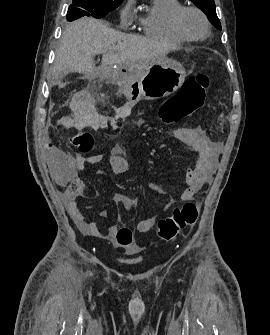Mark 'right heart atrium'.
<instances>
[{
    "label": "right heart atrium",
    "mask_w": 270,
    "mask_h": 335,
    "mask_svg": "<svg viewBox=\"0 0 270 335\" xmlns=\"http://www.w3.org/2000/svg\"><path fill=\"white\" fill-rule=\"evenodd\" d=\"M135 0H126L123 9L121 10V19L124 24H127L132 19V12Z\"/></svg>",
    "instance_id": "right-heart-atrium-1"
}]
</instances>
